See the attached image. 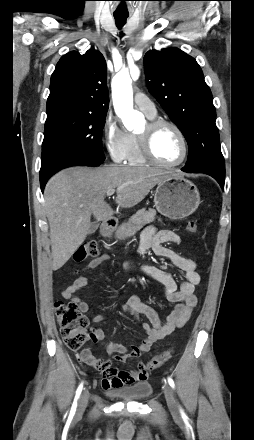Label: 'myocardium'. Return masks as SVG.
<instances>
[{
	"mask_svg": "<svg viewBox=\"0 0 254 440\" xmlns=\"http://www.w3.org/2000/svg\"><path fill=\"white\" fill-rule=\"evenodd\" d=\"M146 125H147L146 130L138 134L140 149L144 158L151 164L163 168H175L182 165L188 156V142L181 128L178 125H176L174 122L162 118L151 119L148 121ZM165 126L173 129L179 136L182 143V156L181 159L176 163L162 162L157 158L153 150L154 136L161 127H165Z\"/></svg>",
	"mask_w": 254,
	"mask_h": 440,
	"instance_id": "myocardium-1",
	"label": "myocardium"
}]
</instances>
